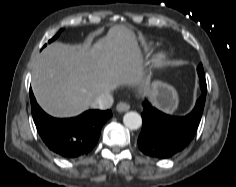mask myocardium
Here are the masks:
<instances>
[{"instance_id": "myocardium-1", "label": "myocardium", "mask_w": 236, "mask_h": 187, "mask_svg": "<svg viewBox=\"0 0 236 187\" xmlns=\"http://www.w3.org/2000/svg\"><path fill=\"white\" fill-rule=\"evenodd\" d=\"M166 60V54L161 52V53H158L156 55V57L154 58V66L155 67H158L160 65H162L164 63V61Z\"/></svg>"}]
</instances>
